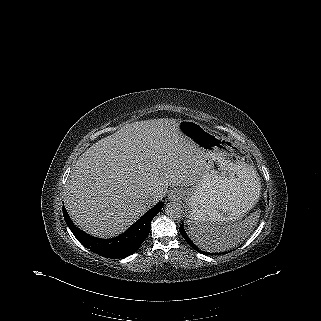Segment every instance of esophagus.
<instances>
[{"label":"esophagus","mask_w":321,"mask_h":321,"mask_svg":"<svg viewBox=\"0 0 321 321\" xmlns=\"http://www.w3.org/2000/svg\"><path fill=\"white\" fill-rule=\"evenodd\" d=\"M172 194H174L173 197H175L176 194H178V192H177V191H174Z\"/></svg>","instance_id":"esophagus-1"}]
</instances>
